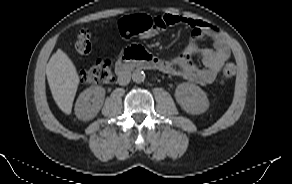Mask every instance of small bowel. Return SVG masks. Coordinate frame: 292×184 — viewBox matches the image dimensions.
Returning a JSON list of instances; mask_svg holds the SVG:
<instances>
[{
  "instance_id": "small-bowel-1",
  "label": "small bowel",
  "mask_w": 292,
  "mask_h": 184,
  "mask_svg": "<svg viewBox=\"0 0 292 184\" xmlns=\"http://www.w3.org/2000/svg\"><path fill=\"white\" fill-rule=\"evenodd\" d=\"M161 30L175 25H185L191 30V40L183 52L173 61L166 62V72L178 75L190 82L207 85L212 83L223 65L230 59L229 45L215 26L202 20L193 19L177 14H165L155 17ZM202 37H209L213 41V48H201L198 41ZM200 56L203 67L192 62V57Z\"/></svg>"
}]
</instances>
